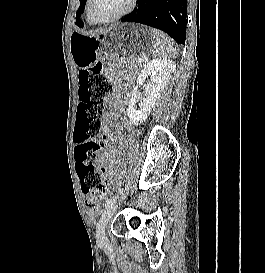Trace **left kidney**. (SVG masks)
Wrapping results in <instances>:
<instances>
[{"label": "left kidney", "mask_w": 265, "mask_h": 273, "mask_svg": "<svg viewBox=\"0 0 265 273\" xmlns=\"http://www.w3.org/2000/svg\"><path fill=\"white\" fill-rule=\"evenodd\" d=\"M175 67L176 65L172 60L160 58L150 61L143 68L137 79V85L132 91L131 99L128 102V117L132 124L139 125L147 119L161 92L170 81ZM147 77H150V82L144 84V80ZM141 86L145 88L143 97L139 94ZM139 99L143 101L142 106L140 110H136V103Z\"/></svg>", "instance_id": "obj_1"}]
</instances>
